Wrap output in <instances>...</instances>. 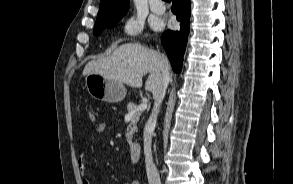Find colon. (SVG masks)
<instances>
[{
	"mask_svg": "<svg viewBox=\"0 0 293 184\" xmlns=\"http://www.w3.org/2000/svg\"><path fill=\"white\" fill-rule=\"evenodd\" d=\"M88 119H89L91 122H95V120H96V115H95V113H94L93 111H90V112L88 113Z\"/></svg>",
	"mask_w": 293,
	"mask_h": 184,
	"instance_id": "5ec220e1",
	"label": "colon"
}]
</instances>
